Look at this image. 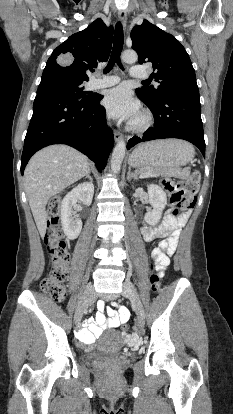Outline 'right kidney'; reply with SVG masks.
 <instances>
[{
    "label": "right kidney",
    "instance_id": "right-kidney-1",
    "mask_svg": "<svg viewBox=\"0 0 233 414\" xmlns=\"http://www.w3.org/2000/svg\"><path fill=\"white\" fill-rule=\"evenodd\" d=\"M94 194V185L92 182H84L73 188L63 199L61 203V224L64 234L71 240L76 239L82 229V221L75 219L73 207L77 201H81L86 206L92 203Z\"/></svg>",
    "mask_w": 233,
    "mask_h": 414
}]
</instances>
